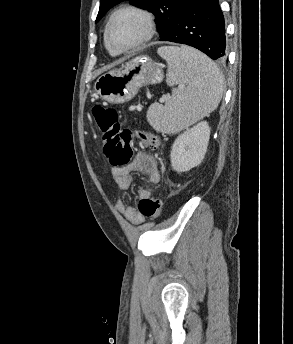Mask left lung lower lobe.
<instances>
[{
	"instance_id": "0a47b994",
	"label": "left lung lower lobe",
	"mask_w": 293,
	"mask_h": 344,
	"mask_svg": "<svg viewBox=\"0 0 293 344\" xmlns=\"http://www.w3.org/2000/svg\"><path fill=\"white\" fill-rule=\"evenodd\" d=\"M160 41L195 47L213 60L226 57L225 23L218 0H186Z\"/></svg>"
}]
</instances>
